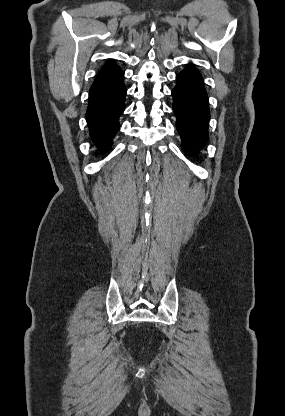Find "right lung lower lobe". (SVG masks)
I'll return each mask as SVG.
<instances>
[{
	"label": "right lung lower lobe",
	"instance_id": "98d812e1",
	"mask_svg": "<svg viewBox=\"0 0 285 416\" xmlns=\"http://www.w3.org/2000/svg\"><path fill=\"white\" fill-rule=\"evenodd\" d=\"M123 79L122 72L115 78L90 88L86 119L92 140L99 148L111 145L119 130L118 119L124 111L127 92Z\"/></svg>",
	"mask_w": 285,
	"mask_h": 416
}]
</instances>
